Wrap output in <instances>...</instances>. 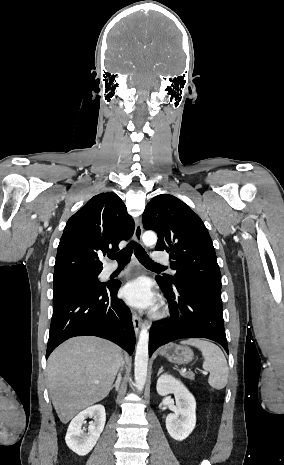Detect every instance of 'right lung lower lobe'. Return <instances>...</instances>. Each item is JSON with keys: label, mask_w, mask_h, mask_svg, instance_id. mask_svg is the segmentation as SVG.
I'll list each match as a JSON object with an SVG mask.
<instances>
[{"label": "right lung lower lobe", "mask_w": 284, "mask_h": 465, "mask_svg": "<svg viewBox=\"0 0 284 465\" xmlns=\"http://www.w3.org/2000/svg\"><path fill=\"white\" fill-rule=\"evenodd\" d=\"M120 285L73 288L54 296L46 359L65 340L83 335L108 339L132 354L135 333L129 308L116 298Z\"/></svg>", "instance_id": "right-lung-lower-lobe-1"}]
</instances>
